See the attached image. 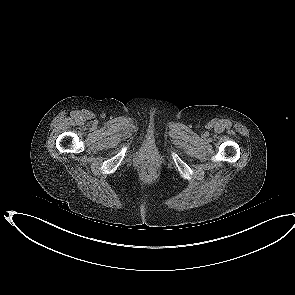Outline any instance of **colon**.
<instances>
[{
	"label": "colon",
	"mask_w": 295,
	"mask_h": 295,
	"mask_svg": "<svg viewBox=\"0 0 295 295\" xmlns=\"http://www.w3.org/2000/svg\"><path fill=\"white\" fill-rule=\"evenodd\" d=\"M144 173H145L146 176H151L152 175V170L150 168H146L144 170Z\"/></svg>",
	"instance_id": "5ec220e1"
}]
</instances>
